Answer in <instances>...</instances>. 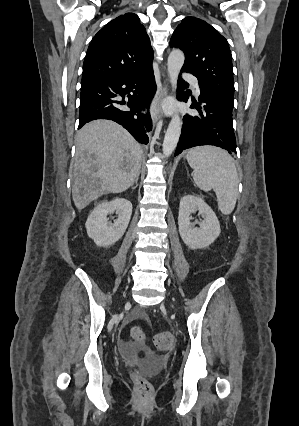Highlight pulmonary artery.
Segmentation results:
<instances>
[{
  "instance_id": "e3ab8cb5",
  "label": "pulmonary artery",
  "mask_w": 299,
  "mask_h": 426,
  "mask_svg": "<svg viewBox=\"0 0 299 426\" xmlns=\"http://www.w3.org/2000/svg\"><path fill=\"white\" fill-rule=\"evenodd\" d=\"M186 78L190 81L196 95L199 96L200 95V87H199V83H198L197 79L194 78V77H191V76H187Z\"/></svg>"
}]
</instances>
